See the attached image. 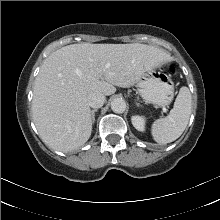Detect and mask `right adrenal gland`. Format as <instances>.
I'll list each match as a JSON object with an SVG mask.
<instances>
[{"mask_svg": "<svg viewBox=\"0 0 220 220\" xmlns=\"http://www.w3.org/2000/svg\"><path fill=\"white\" fill-rule=\"evenodd\" d=\"M95 112H97V109H94V110L91 111L92 123L95 122Z\"/></svg>", "mask_w": 220, "mask_h": 220, "instance_id": "obj_1", "label": "right adrenal gland"}]
</instances>
